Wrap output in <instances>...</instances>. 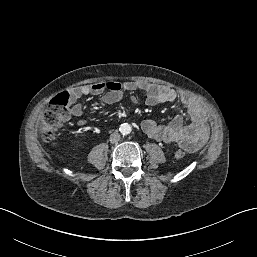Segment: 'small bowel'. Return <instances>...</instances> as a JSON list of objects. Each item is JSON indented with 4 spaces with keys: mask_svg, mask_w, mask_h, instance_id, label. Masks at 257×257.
I'll list each match as a JSON object with an SVG mask.
<instances>
[{
    "mask_svg": "<svg viewBox=\"0 0 257 257\" xmlns=\"http://www.w3.org/2000/svg\"><path fill=\"white\" fill-rule=\"evenodd\" d=\"M140 90L145 94V103L155 106L161 103H171L179 99L187 110L191 123L184 124L183 117L176 115L169 123L160 125L152 119L142 122L144 133L155 140L165 143H176L187 151H196L201 148L209 137L207 117L200 105L187 95L178 96L177 92L169 87L148 81L98 82L83 85L72 89L70 93V114L78 119V125H84L83 106L79 99L87 95L100 96V101L106 105L120 102L126 92ZM131 102L139 103L138 98L132 97Z\"/></svg>",
    "mask_w": 257,
    "mask_h": 257,
    "instance_id": "c3829d8e",
    "label": "small bowel"
}]
</instances>
